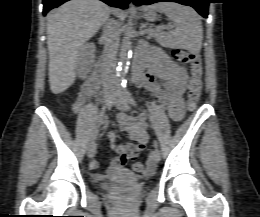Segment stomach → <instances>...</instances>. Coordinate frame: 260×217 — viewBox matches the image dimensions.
I'll list each match as a JSON object with an SVG mask.
<instances>
[{
    "label": "stomach",
    "mask_w": 260,
    "mask_h": 217,
    "mask_svg": "<svg viewBox=\"0 0 260 217\" xmlns=\"http://www.w3.org/2000/svg\"><path fill=\"white\" fill-rule=\"evenodd\" d=\"M144 17L146 20L151 21V22H153L157 19V15L153 9L146 10Z\"/></svg>",
    "instance_id": "stomach-1"
}]
</instances>
